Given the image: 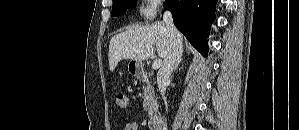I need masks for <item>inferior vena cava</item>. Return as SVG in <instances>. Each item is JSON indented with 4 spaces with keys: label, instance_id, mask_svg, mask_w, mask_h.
Segmentation results:
<instances>
[{
    "label": "inferior vena cava",
    "instance_id": "inferior-vena-cava-1",
    "mask_svg": "<svg viewBox=\"0 0 299 130\" xmlns=\"http://www.w3.org/2000/svg\"><path fill=\"white\" fill-rule=\"evenodd\" d=\"M163 22L168 31L170 49L167 56L164 59L163 65L158 71L157 84L162 97L165 98L164 95L166 91V86L170 82V75L173 72L177 63L181 60L183 44L182 36L174 25L171 12H164ZM163 130H167L166 123L164 124Z\"/></svg>",
    "mask_w": 299,
    "mask_h": 130
}]
</instances>
